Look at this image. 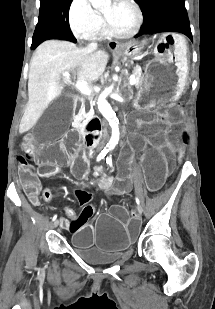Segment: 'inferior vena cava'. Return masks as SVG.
<instances>
[{
  "label": "inferior vena cava",
  "mask_w": 215,
  "mask_h": 309,
  "mask_svg": "<svg viewBox=\"0 0 215 309\" xmlns=\"http://www.w3.org/2000/svg\"><path fill=\"white\" fill-rule=\"evenodd\" d=\"M98 44L97 42H89L88 46H86L88 52H93V50H96Z\"/></svg>",
  "instance_id": "1"
}]
</instances>
